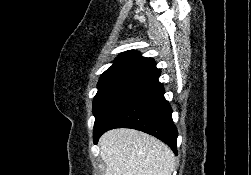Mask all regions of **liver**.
Listing matches in <instances>:
<instances>
[{"instance_id":"1","label":"liver","mask_w":251,"mask_h":175,"mask_svg":"<svg viewBox=\"0 0 251 175\" xmlns=\"http://www.w3.org/2000/svg\"><path fill=\"white\" fill-rule=\"evenodd\" d=\"M105 175H171L176 157L160 139L136 129H110L99 139Z\"/></svg>"}]
</instances>
